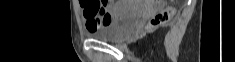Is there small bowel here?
Segmentation results:
<instances>
[{
    "instance_id": "small-bowel-1",
    "label": "small bowel",
    "mask_w": 235,
    "mask_h": 62,
    "mask_svg": "<svg viewBox=\"0 0 235 62\" xmlns=\"http://www.w3.org/2000/svg\"><path fill=\"white\" fill-rule=\"evenodd\" d=\"M106 5H107V9L111 13H115L125 5V2L114 3L113 1L109 0V1H107ZM81 7L84 10V17L86 20V28L88 31L95 30V29L99 28L101 25H104L106 23L104 20L98 19L96 16L88 15L87 14V5L85 4L84 1L81 2ZM107 15H108V20H111V14L108 13Z\"/></svg>"
}]
</instances>
